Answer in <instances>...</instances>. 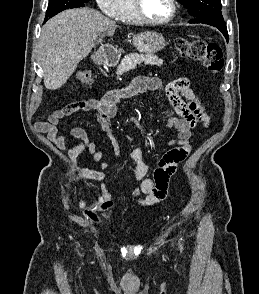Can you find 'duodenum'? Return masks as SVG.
<instances>
[{
	"mask_svg": "<svg viewBox=\"0 0 259 294\" xmlns=\"http://www.w3.org/2000/svg\"><path fill=\"white\" fill-rule=\"evenodd\" d=\"M118 60V56L111 51L103 50L100 54V62L106 65H114Z\"/></svg>",
	"mask_w": 259,
	"mask_h": 294,
	"instance_id": "obj_1",
	"label": "duodenum"
}]
</instances>
